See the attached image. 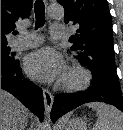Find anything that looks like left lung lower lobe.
Returning <instances> with one entry per match:
<instances>
[{"instance_id":"obj_1","label":"left lung lower lobe","mask_w":123,"mask_h":130,"mask_svg":"<svg viewBox=\"0 0 123 130\" xmlns=\"http://www.w3.org/2000/svg\"><path fill=\"white\" fill-rule=\"evenodd\" d=\"M96 101L111 104L123 112V98L119 83L93 76L92 86L89 90L78 94H58L52 106L51 120L54 122L76 107Z\"/></svg>"}]
</instances>
